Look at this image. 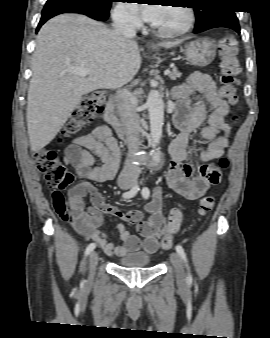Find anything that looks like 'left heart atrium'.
<instances>
[{
    "mask_svg": "<svg viewBox=\"0 0 270 338\" xmlns=\"http://www.w3.org/2000/svg\"><path fill=\"white\" fill-rule=\"evenodd\" d=\"M135 9L141 14L142 18L150 23H154L161 11L160 5H141V4H133Z\"/></svg>",
    "mask_w": 270,
    "mask_h": 338,
    "instance_id": "obj_1",
    "label": "left heart atrium"
}]
</instances>
